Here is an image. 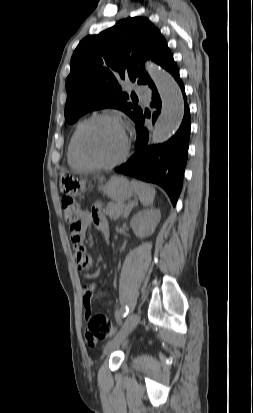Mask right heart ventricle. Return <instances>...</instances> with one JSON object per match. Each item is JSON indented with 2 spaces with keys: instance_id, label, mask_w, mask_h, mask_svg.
<instances>
[{
  "instance_id": "right-heart-ventricle-1",
  "label": "right heart ventricle",
  "mask_w": 253,
  "mask_h": 413,
  "mask_svg": "<svg viewBox=\"0 0 253 413\" xmlns=\"http://www.w3.org/2000/svg\"><path fill=\"white\" fill-rule=\"evenodd\" d=\"M79 127V126H78ZM78 127L74 130L73 134L70 137L68 146H67V161L68 164L76 169H86L88 168L87 165H85L80 158L78 157L75 149V135Z\"/></svg>"
}]
</instances>
